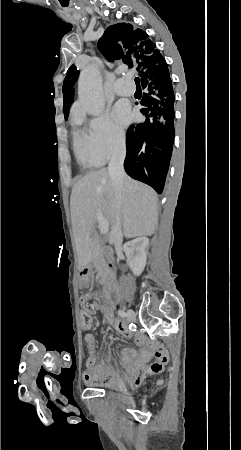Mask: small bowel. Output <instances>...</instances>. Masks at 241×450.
Segmentation results:
<instances>
[{"mask_svg":"<svg viewBox=\"0 0 241 450\" xmlns=\"http://www.w3.org/2000/svg\"><path fill=\"white\" fill-rule=\"evenodd\" d=\"M81 286L85 287L86 285ZM92 297H99V293L93 292L83 296V304H85ZM103 298L105 301L103 308L107 313H110V305L114 302H110L104 295ZM82 311L91 310L89 308H84ZM112 323L114 329L119 335L128 339L133 337L131 331L123 321L114 319ZM95 341V337L92 334H86L84 336V343L89 353L86 362L87 370L84 374V378L86 383L89 385L101 384L107 387H114L123 382H127L131 387L138 388L147 374L161 371L164 364L168 361V352L161 344L154 345L142 337L137 336L135 341L136 344L141 347V350L137 351L132 348L125 349L123 351V365L121 371L110 369L100 363L95 352ZM154 357L155 361L150 366L146 367L145 359H152Z\"/></svg>","mask_w":241,"mask_h":450,"instance_id":"obj_1","label":"small bowel"}]
</instances>
